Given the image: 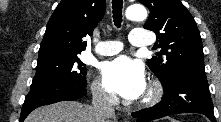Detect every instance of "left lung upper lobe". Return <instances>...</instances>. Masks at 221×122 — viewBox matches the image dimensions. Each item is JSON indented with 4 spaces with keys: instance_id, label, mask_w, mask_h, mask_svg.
<instances>
[{
    "instance_id": "5c2ea615",
    "label": "left lung upper lobe",
    "mask_w": 221,
    "mask_h": 122,
    "mask_svg": "<svg viewBox=\"0 0 221 122\" xmlns=\"http://www.w3.org/2000/svg\"><path fill=\"white\" fill-rule=\"evenodd\" d=\"M150 9L144 25L157 35V56L147 61L162 85L182 75L205 76L200 32L190 12L180 0H139Z\"/></svg>"
}]
</instances>
